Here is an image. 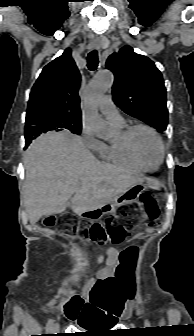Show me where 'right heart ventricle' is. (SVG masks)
I'll return each mask as SVG.
<instances>
[{"instance_id": "right-heart-ventricle-1", "label": "right heart ventricle", "mask_w": 194, "mask_h": 336, "mask_svg": "<svg viewBox=\"0 0 194 336\" xmlns=\"http://www.w3.org/2000/svg\"><path fill=\"white\" fill-rule=\"evenodd\" d=\"M120 129L126 127L125 123L116 124ZM99 157L111 164L123 167L135 173H145L151 171L146 167L137 163L132 156L128 153L125 146L121 141V137L118 140L101 144L97 151Z\"/></svg>"}]
</instances>
